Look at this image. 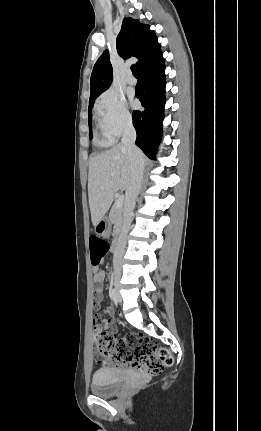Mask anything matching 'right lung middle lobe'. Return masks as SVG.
Wrapping results in <instances>:
<instances>
[{"label": "right lung middle lobe", "mask_w": 261, "mask_h": 431, "mask_svg": "<svg viewBox=\"0 0 261 431\" xmlns=\"http://www.w3.org/2000/svg\"><path fill=\"white\" fill-rule=\"evenodd\" d=\"M96 98H97V97H95V98H93V99L89 100L90 105H89V107H88V115H89V131H90V136H91V111H92V107H93L94 100H95Z\"/></svg>", "instance_id": "right-lung-middle-lobe-1"}]
</instances>
